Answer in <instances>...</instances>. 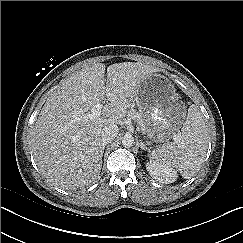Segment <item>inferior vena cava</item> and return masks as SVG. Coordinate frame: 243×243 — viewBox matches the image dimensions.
Instances as JSON below:
<instances>
[{"mask_svg":"<svg viewBox=\"0 0 243 243\" xmlns=\"http://www.w3.org/2000/svg\"><path fill=\"white\" fill-rule=\"evenodd\" d=\"M119 129L117 125H109L106 126L101 132V140L106 145L115 139L118 135Z\"/></svg>","mask_w":243,"mask_h":243,"instance_id":"1","label":"inferior vena cava"}]
</instances>
